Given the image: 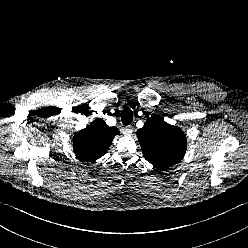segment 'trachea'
<instances>
[{
	"mask_svg": "<svg viewBox=\"0 0 248 248\" xmlns=\"http://www.w3.org/2000/svg\"><path fill=\"white\" fill-rule=\"evenodd\" d=\"M121 120L124 125H129L133 121V113L130 108L126 107L121 112Z\"/></svg>",
	"mask_w": 248,
	"mask_h": 248,
	"instance_id": "obj_1",
	"label": "trachea"
}]
</instances>
